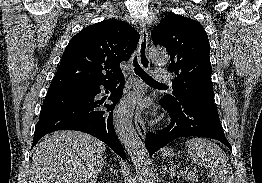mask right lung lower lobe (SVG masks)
<instances>
[{"instance_id": "obj_1", "label": "right lung lower lobe", "mask_w": 262, "mask_h": 183, "mask_svg": "<svg viewBox=\"0 0 262 183\" xmlns=\"http://www.w3.org/2000/svg\"><path fill=\"white\" fill-rule=\"evenodd\" d=\"M123 76L117 80H123ZM117 80L65 88H49L36 125L32 147L44 135L56 130H77L93 135L111 147L121 158L126 153L115 133L111 112L122 96L124 83L116 89ZM104 86L112 93L113 104L96 100ZM31 147V148H32Z\"/></svg>"}]
</instances>
